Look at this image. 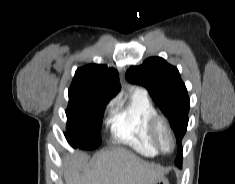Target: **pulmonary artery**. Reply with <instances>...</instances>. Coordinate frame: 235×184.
I'll return each instance as SVG.
<instances>
[{
	"instance_id": "e3ab8cb5",
	"label": "pulmonary artery",
	"mask_w": 235,
	"mask_h": 184,
	"mask_svg": "<svg viewBox=\"0 0 235 184\" xmlns=\"http://www.w3.org/2000/svg\"><path fill=\"white\" fill-rule=\"evenodd\" d=\"M136 92L139 93V94L147 95V90L145 88H142V87L136 88Z\"/></svg>"
}]
</instances>
